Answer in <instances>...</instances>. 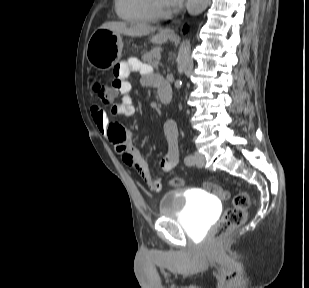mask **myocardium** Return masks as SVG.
I'll return each mask as SVG.
<instances>
[{
    "instance_id": "myocardium-1",
    "label": "myocardium",
    "mask_w": 309,
    "mask_h": 288,
    "mask_svg": "<svg viewBox=\"0 0 309 288\" xmlns=\"http://www.w3.org/2000/svg\"><path fill=\"white\" fill-rule=\"evenodd\" d=\"M151 9L156 17L169 15L170 11L165 7L161 0H149Z\"/></svg>"
}]
</instances>
